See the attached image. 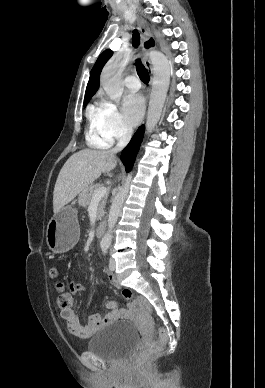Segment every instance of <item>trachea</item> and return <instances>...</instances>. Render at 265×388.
Instances as JSON below:
<instances>
[{"label": "trachea", "mask_w": 265, "mask_h": 388, "mask_svg": "<svg viewBox=\"0 0 265 388\" xmlns=\"http://www.w3.org/2000/svg\"><path fill=\"white\" fill-rule=\"evenodd\" d=\"M132 43H133V46L135 48H137L140 44V35H139L138 30L133 31ZM135 65H136L137 73H138L139 77L141 78V80L144 83H148L150 80V77H149L148 71L146 70L144 65L141 63V60L138 59L136 61Z\"/></svg>", "instance_id": "trachea-1"}]
</instances>
